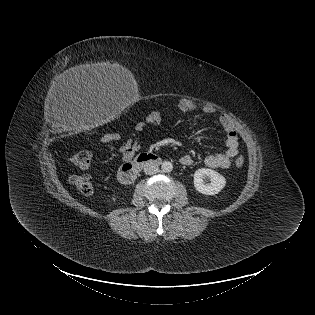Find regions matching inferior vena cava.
I'll list each match as a JSON object with an SVG mask.
<instances>
[{
	"label": "inferior vena cava",
	"instance_id": "602c4592",
	"mask_svg": "<svg viewBox=\"0 0 315 315\" xmlns=\"http://www.w3.org/2000/svg\"><path fill=\"white\" fill-rule=\"evenodd\" d=\"M158 171V166L154 162H148L144 165V173L147 175L156 174Z\"/></svg>",
	"mask_w": 315,
	"mask_h": 315
}]
</instances>
